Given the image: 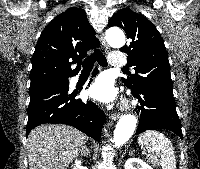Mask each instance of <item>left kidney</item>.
<instances>
[{
  "instance_id": "obj_1",
  "label": "left kidney",
  "mask_w": 200,
  "mask_h": 169,
  "mask_svg": "<svg viewBox=\"0 0 200 169\" xmlns=\"http://www.w3.org/2000/svg\"><path fill=\"white\" fill-rule=\"evenodd\" d=\"M125 169H153L149 164L139 158H129L126 160Z\"/></svg>"
}]
</instances>
